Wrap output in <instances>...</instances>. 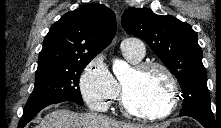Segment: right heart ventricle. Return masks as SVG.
<instances>
[{
	"mask_svg": "<svg viewBox=\"0 0 221 128\" xmlns=\"http://www.w3.org/2000/svg\"><path fill=\"white\" fill-rule=\"evenodd\" d=\"M123 55L132 64H137L140 61V59H135V57L131 53H124L123 52Z\"/></svg>",
	"mask_w": 221,
	"mask_h": 128,
	"instance_id": "1",
	"label": "right heart ventricle"
}]
</instances>
